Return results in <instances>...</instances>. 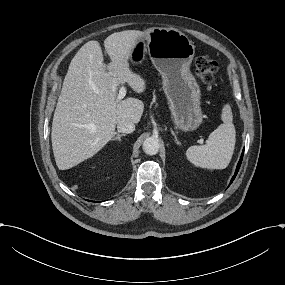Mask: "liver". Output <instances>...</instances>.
I'll return each instance as SVG.
<instances>
[{"mask_svg":"<svg viewBox=\"0 0 285 285\" xmlns=\"http://www.w3.org/2000/svg\"><path fill=\"white\" fill-rule=\"evenodd\" d=\"M139 30L115 32L104 40L111 62L103 63L98 41L85 43L71 60L52 122V148L60 170L93 157L115 134L121 120L138 123L144 104L136 98L117 99L118 86L127 83L135 92L146 89L145 80L129 68Z\"/></svg>","mask_w":285,"mask_h":285,"instance_id":"liver-1","label":"liver"}]
</instances>
